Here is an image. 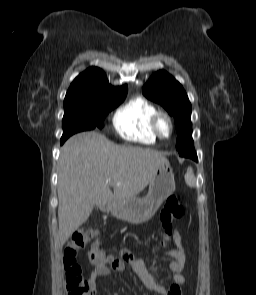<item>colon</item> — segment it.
I'll list each match as a JSON object with an SVG mask.
<instances>
[{
	"instance_id": "obj_1",
	"label": "colon",
	"mask_w": 256,
	"mask_h": 295,
	"mask_svg": "<svg viewBox=\"0 0 256 295\" xmlns=\"http://www.w3.org/2000/svg\"><path fill=\"white\" fill-rule=\"evenodd\" d=\"M184 215L185 208L182 205L180 195H170L166 199L159 216L166 237L172 233L174 224L183 218ZM93 235L94 233L90 229L78 230L73 233L64 249L63 264L67 295H90L89 286L77 262V255L87 246ZM88 259L90 264L94 266L106 264L108 261L106 255L97 246H93L90 249Z\"/></svg>"
}]
</instances>
